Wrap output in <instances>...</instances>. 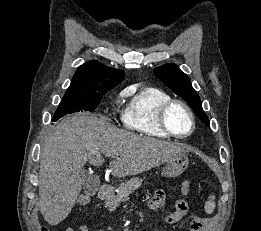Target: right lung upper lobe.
I'll list each match as a JSON object with an SVG mask.
<instances>
[{
  "instance_id": "right-lung-upper-lobe-1",
  "label": "right lung upper lobe",
  "mask_w": 261,
  "mask_h": 231,
  "mask_svg": "<svg viewBox=\"0 0 261 231\" xmlns=\"http://www.w3.org/2000/svg\"><path fill=\"white\" fill-rule=\"evenodd\" d=\"M125 73L91 61L81 65L74 74L66 93L107 92L121 83Z\"/></svg>"
}]
</instances>
